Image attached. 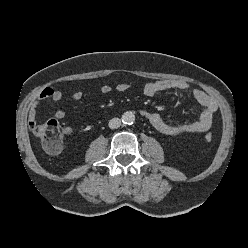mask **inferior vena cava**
<instances>
[{
    "mask_svg": "<svg viewBox=\"0 0 248 248\" xmlns=\"http://www.w3.org/2000/svg\"><path fill=\"white\" fill-rule=\"evenodd\" d=\"M108 125L110 129H117L121 125V120L119 118H113L109 121Z\"/></svg>",
    "mask_w": 248,
    "mask_h": 248,
    "instance_id": "602c4592",
    "label": "inferior vena cava"
}]
</instances>
